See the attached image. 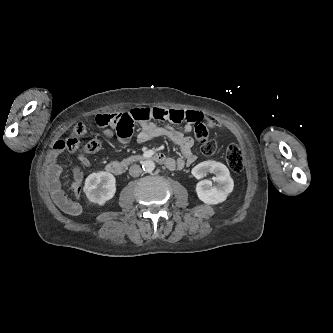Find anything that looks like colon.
<instances>
[{
    "mask_svg": "<svg viewBox=\"0 0 333 333\" xmlns=\"http://www.w3.org/2000/svg\"><path fill=\"white\" fill-rule=\"evenodd\" d=\"M95 121L98 126L114 128L117 135L126 134L130 131L129 119L125 113L99 114L96 116ZM86 132L87 129L83 123L76 124L67 138L55 142L52 150L53 155L58 156L68 151L78 154L79 156H84L85 154L95 153L100 150L102 142L99 139L81 144L80 137L85 135ZM194 133L201 144L202 154L206 156L213 155L217 150V145L216 142L210 138L208 128L202 123H196ZM225 159L228 167L234 173H239L243 169V154L237 145L231 144L227 147Z\"/></svg>",
    "mask_w": 333,
    "mask_h": 333,
    "instance_id": "obj_1",
    "label": "colon"
}]
</instances>
